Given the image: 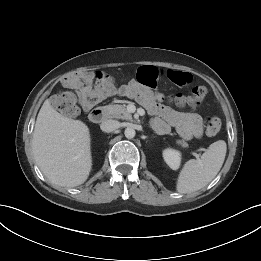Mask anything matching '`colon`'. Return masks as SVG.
<instances>
[{
  "label": "colon",
  "mask_w": 261,
  "mask_h": 261,
  "mask_svg": "<svg viewBox=\"0 0 261 261\" xmlns=\"http://www.w3.org/2000/svg\"><path fill=\"white\" fill-rule=\"evenodd\" d=\"M96 80L98 84L111 83L112 79L109 75L102 73L96 74ZM206 89L203 86H197L192 90L191 95L184 96L181 94L172 95L169 97V101L179 107H192L198 105L205 97ZM54 107L66 116H75L78 113V107L76 104V98L70 91H62L53 98ZM221 129L220 118L213 116L207 120L206 132L208 135H215Z\"/></svg>",
  "instance_id": "obj_1"
}]
</instances>
